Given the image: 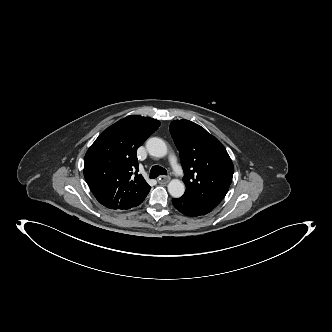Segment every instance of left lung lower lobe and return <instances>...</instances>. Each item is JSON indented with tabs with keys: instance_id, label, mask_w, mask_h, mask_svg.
Listing matches in <instances>:
<instances>
[{
	"instance_id": "left-lung-lower-lobe-1",
	"label": "left lung lower lobe",
	"mask_w": 332,
	"mask_h": 332,
	"mask_svg": "<svg viewBox=\"0 0 332 332\" xmlns=\"http://www.w3.org/2000/svg\"><path fill=\"white\" fill-rule=\"evenodd\" d=\"M172 203L178 211H180L186 216H201L206 215L212 211L185 197H180L178 199L173 198Z\"/></svg>"
}]
</instances>
